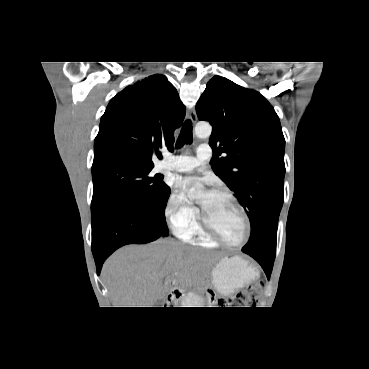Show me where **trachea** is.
<instances>
[{
    "label": "trachea",
    "mask_w": 369,
    "mask_h": 369,
    "mask_svg": "<svg viewBox=\"0 0 369 369\" xmlns=\"http://www.w3.org/2000/svg\"><path fill=\"white\" fill-rule=\"evenodd\" d=\"M193 141L192 135V122L191 120H186L182 126L180 135L176 142V148H181L184 144H191Z\"/></svg>",
    "instance_id": "3493384b"
}]
</instances>
